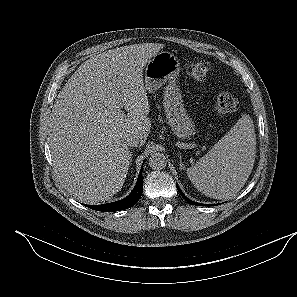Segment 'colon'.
I'll use <instances>...</instances> for the list:
<instances>
[{"mask_svg": "<svg viewBox=\"0 0 297 297\" xmlns=\"http://www.w3.org/2000/svg\"><path fill=\"white\" fill-rule=\"evenodd\" d=\"M210 64L204 60L192 61L187 64V72L197 82L204 81L209 73ZM236 99L228 93H220L215 101V111L219 115H226L236 111Z\"/></svg>", "mask_w": 297, "mask_h": 297, "instance_id": "5ec220e1", "label": "colon"}]
</instances>
